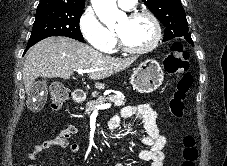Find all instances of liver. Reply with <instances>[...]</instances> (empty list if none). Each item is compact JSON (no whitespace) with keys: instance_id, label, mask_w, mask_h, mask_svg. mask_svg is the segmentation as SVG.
<instances>
[{"instance_id":"1","label":"liver","mask_w":227,"mask_h":166,"mask_svg":"<svg viewBox=\"0 0 227 166\" xmlns=\"http://www.w3.org/2000/svg\"><path fill=\"white\" fill-rule=\"evenodd\" d=\"M135 58H114L77 40L53 36L35 44L29 51L22 77L29 94L38 77L69 79L77 69L88 70L95 81L107 78L129 67ZM98 89L103 88L99 82Z\"/></svg>"}]
</instances>
